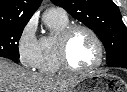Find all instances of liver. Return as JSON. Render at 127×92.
<instances>
[{"label": "liver", "instance_id": "liver-1", "mask_svg": "<svg viewBox=\"0 0 127 92\" xmlns=\"http://www.w3.org/2000/svg\"><path fill=\"white\" fill-rule=\"evenodd\" d=\"M82 78L41 75L0 58V92H71Z\"/></svg>", "mask_w": 127, "mask_h": 92}]
</instances>
